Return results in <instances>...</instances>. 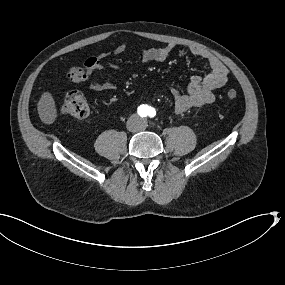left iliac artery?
Here are the masks:
<instances>
[{"label":"left iliac artery","mask_w":285,"mask_h":285,"mask_svg":"<svg viewBox=\"0 0 285 285\" xmlns=\"http://www.w3.org/2000/svg\"><path fill=\"white\" fill-rule=\"evenodd\" d=\"M148 115H149L150 117H154V116L156 115L155 109H154V108H150V110H149V112H148Z\"/></svg>","instance_id":"obj_1"}]
</instances>
